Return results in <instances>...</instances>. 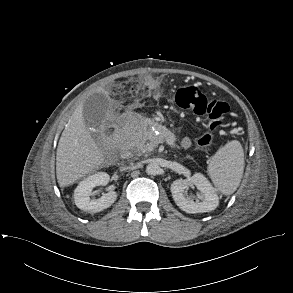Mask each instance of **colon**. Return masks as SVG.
I'll return each instance as SVG.
<instances>
[{
  "label": "colon",
  "mask_w": 293,
  "mask_h": 293,
  "mask_svg": "<svg viewBox=\"0 0 293 293\" xmlns=\"http://www.w3.org/2000/svg\"><path fill=\"white\" fill-rule=\"evenodd\" d=\"M175 101L185 111L196 115H207L211 120V130L222 126L224 117L229 112V105L226 102L208 98L200 88L195 86L180 87L175 93ZM212 143L211 135H205L198 141L203 148H209Z\"/></svg>",
  "instance_id": "colon-1"
}]
</instances>
